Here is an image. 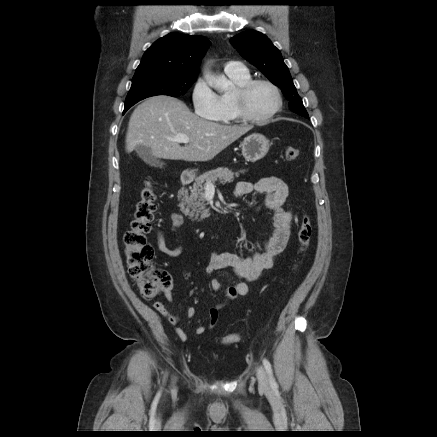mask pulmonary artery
<instances>
[{"label": "pulmonary artery", "instance_id": "obj_1", "mask_svg": "<svg viewBox=\"0 0 437 437\" xmlns=\"http://www.w3.org/2000/svg\"><path fill=\"white\" fill-rule=\"evenodd\" d=\"M245 70L246 68L244 67V65L236 61L227 62L224 66L225 73H238V72H243Z\"/></svg>", "mask_w": 437, "mask_h": 437}]
</instances>
